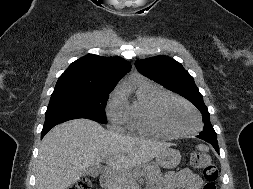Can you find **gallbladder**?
<instances>
[{
	"label": "gallbladder",
	"instance_id": "bac80fb5",
	"mask_svg": "<svg viewBox=\"0 0 253 189\" xmlns=\"http://www.w3.org/2000/svg\"><path fill=\"white\" fill-rule=\"evenodd\" d=\"M98 174V170L97 169H87L84 172V175H90V176H96Z\"/></svg>",
	"mask_w": 253,
	"mask_h": 189
}]
</instances>
